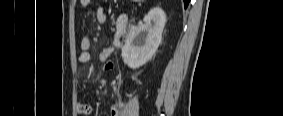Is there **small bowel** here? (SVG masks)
Instances as JSON below:
<instances>
[{
  "instance_id": "small-bowel-1",
  "label": "small bowel",
  "mask_w": 283,
  "mask_h": 116,
  "mask_svg": "<svg viewBox=\"0 0 283 116\" xmlns=\"http://www.w3.org/2000/svg\"><path fill=\"white\" fill-rule=\"evenodd\" d=\"M80 2L84 8L91 9L94 12L98 22L105 23L107 21V15L103 11V9L93 6L90 0H81ZM80 49H81V53L78 57V61L80 63H87L91 58V55L89 52L90 39L88 37L85 36L82 38L80 42ZM112 52H113V48H107L103 50L100 53V59L102 61H106L108 57L112 54ZM78 110L82 114H90L92 112V105L90 103H82L79 105ZM120 114H121V111H120L118 104L113 103L110 107V115L119 116Z\"/></svg>"
}]
</instances>
